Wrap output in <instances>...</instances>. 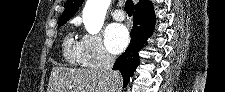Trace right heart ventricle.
Masks as SVG:
<instances>
[{
	"mask_svg": "<svg viewBox=\"0 0 225 92\" xmlns=\"http://www.w3.org/2000/svg\"><path fill=\"white\" fill-rule=\"evenodd\" d=\"M63 53L67 61H78V43L74 42L71 35H67L63 41Z\"/></svg>",
	"mask_w": 225,
	"mask_h": 92,
	"instance_id": "right-heart-ventricle-1",
	"label": "right heart ventricle"
}]
</instances>
